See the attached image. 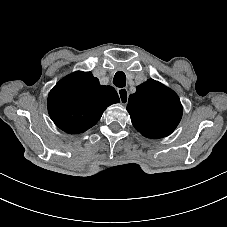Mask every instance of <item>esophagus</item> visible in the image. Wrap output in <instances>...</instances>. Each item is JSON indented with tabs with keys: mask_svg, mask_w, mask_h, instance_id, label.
I'll return each instance as SVG.
<instances>
[{
	"mask_svg": "<svg viewBox=\"0 0 227 227\" xmlns=\"http://www.w3.org/2000/svg\"><path fill=\"white\" fill-rule=\"evenodd\" d=\"M117 93L122 105H126L129 99V92L127 88H118Z\"/></svg>",
	"mask_w": 227,
	"mask_h": 227,
	"instance_id": "esophagus-1",
	"label": "esophagus"
}]
</instances>
